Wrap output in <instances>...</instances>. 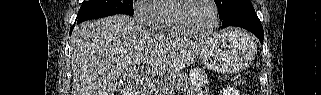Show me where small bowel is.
Returning a JSON list of instances; mask_svg holds the SVG:
<instances>
[{"instance_id": "small-bowel-1", "label": "small bowel", "mask_w": 321, "mask_h": 95, "mask_svg": "<svg viewBox=\"0 0 321 95\" xmlns=\"http://www.w3.org/2000/svg\"><path fill=\"white\" fill-rule=\"evenodd\" d=\"M238 91L231 86L223 88L220 92L219 95H238Z\"/></svg>"}]
</instances>
